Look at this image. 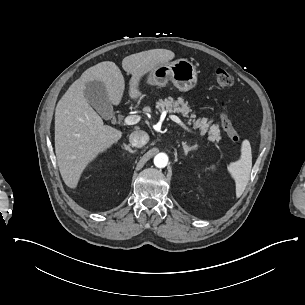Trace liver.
Segmentation results:
<instances>
[{
  "label": "liver",
  "instance_id": "6515ba94",
  "mask_svg": "<svg viewBox=\"0 0 305 305\" xmlns=\"http://www.w3.org/2000/svg\"><path fill=\"white\" fill-rule=\"evenodd\" d=\"M174 57L175 54L167 49H152L125 57L122 67L132 75L130 97L140 95L138 85L143 75ZM94 80L105 84L109 100L114 105H119L125 88L118 66L104 61L85 70L59 100L55 112V153L62 179L70 188L77 187L87 164L122 136L121 131L104 125L84 97L85 83Z\"/></svg>",
  "mask_w": 305,
  "mask_h": 305
}]
</instances>
